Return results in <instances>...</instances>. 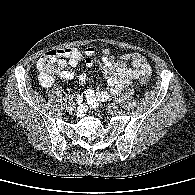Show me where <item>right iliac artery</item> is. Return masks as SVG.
Listing matches in <instances>:
<instances>
[{
    "label": "right iliac artery",
    "instance_id": "obj_1",
    "mask_svg": "<svg viewBox=\"0 0 195 195\" xmlns=\"http://www.w3.org/2000/svg\"><path fill=\"white\" fill-rule=\"evenodd\" d=\"M74 98V95H69V99H73Z\"/></svg>",
    "mask_w": 195,
    "mask_h": 195
}]
</instances>
